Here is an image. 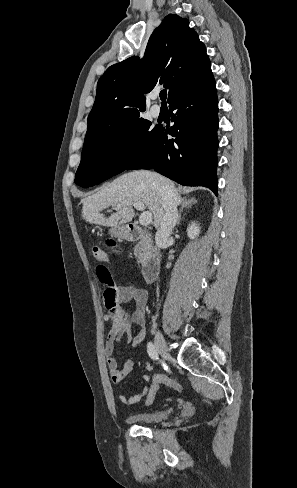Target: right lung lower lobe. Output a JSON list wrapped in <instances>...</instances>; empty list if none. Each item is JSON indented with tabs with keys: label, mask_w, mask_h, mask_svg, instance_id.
Wrapping results in <instances>:
<instances>
[{
	"label": "right lung lower lobe",
	"mask_w": 297,
	"mask_h": 488,
	"mask_svg": "<svg viewBox=\"0 0 297 488\" xmlns=\"http://www.w3.org/2000/svg\"><path fill=\"white\" fill-rule=\"evenodd\" d=\"M174 125L160 128L126 169H154L187 186H205L217 195L218 101L213 74L169 104ZM167 134L175 137L168 139Z\"/></svg>",
	"instance_id": "1"
}]
</instances>
